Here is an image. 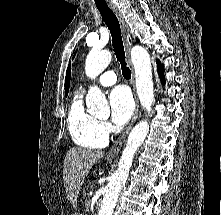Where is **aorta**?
Here are the masks:
<instances>
[{
    "label": "aorta",
    "instance_id": "762f6f07",
    "mask_svg": "<svg viewBox=\"0 0 221 215\" xmlns=\"http://www.w3.org/2000/svg\"><path fill=\"white\" fill-rule=\"evenodd\" d=\"M111 59L112 55L107 50H91L85 62L86 75L95 78L104 71ZM131 60L135 70L136 88L141 106L147 112H150L154 103L150 55L144 47L136 45L131 49ZM86 103L88 112L91 114L105 115L109 113L108 102L97 87L90 88L86 96ZM148 132L149 124L147 120L139 122L130 132L118 163V169L105 188L98 215L113 214L118 195L126 184L134 155L145 140Z\"/></svg>",
    "mask_w": 221,
    "mask_h": 215
}]
</instances>
